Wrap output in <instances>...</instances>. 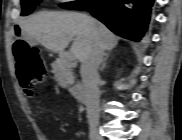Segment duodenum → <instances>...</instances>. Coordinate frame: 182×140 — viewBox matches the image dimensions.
<instances>
[{
	"label": "duodenum",
	"instance_id": "410a0bca",
	"mask_svg": "<svg viewBox=\"0 0 182 140\" xmlns=\"http://www.w3.org/2000/svg\"><path fill=\"white\" fill-rule=\"evenodd\" d=\"M74 92H75V98L78 102H80V103L86 102V94L82 87L76 86L74 88Z\"/></svg>",
	"mask_w": 182,
	"mask_h": 140
}]
</instances>
